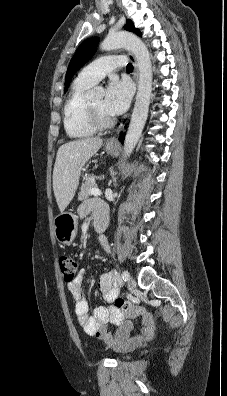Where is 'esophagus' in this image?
<instances>
[{
	"label": "esophagus",
	"mask_w": 227,
	"mask_h": 396,
	"mask_svg": "<svg viewBox=\"0 0 227 396\" xmlns=\"http://www.w3.org/2000/svg\"><path fill=\"white\" fill-rule=\"evenodd\" d=\"M127 56H128L129 60L132 62L133 66H134L133 78H134V80H135L136 85H138V80H139V69H138V64H137L136 58H135L134 55H133L132 53H130V52L127 53ZM117 135H118V134H117ZM117 135H115V136L109 138V139L107 140V143H108L109 145H115V144H117V143H118Z\"/></svg>",
	"instance_id": "34e87169"
}]
</instances>
